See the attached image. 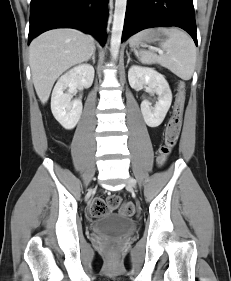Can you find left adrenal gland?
Instances as JSON below:
<instances>
[{"instance_id": "left-adrenal-gland-1", "label": "left adrenal gland", "mask_w": 231, "mask_h": 281, "mask_svg": "<svg viewBox=\"0 0 231 281\" xmlns=\"http://www.w3.org/2000/svg\"><path fill=\"white\" fill-rule=\"evenodd\" d=\"M126 54H127V57H128V60H127V66H128L129 62L131 61V58H130V54L128 52H126Z\"/></svg>"}]
</instances>
